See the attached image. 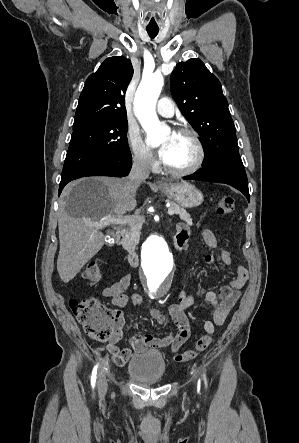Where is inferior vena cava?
Listing matches in <instances>:
<instances>
[{"instance_id": "inferior-vena-cava-1", "label": "inferior vena cava", "mask_w": 299, "mask_h": 443, "mask_svg": "<svg viewBox=\"0 0 299 443\" xmlns=\"http://www.w3.org/2000/svg\"><path fill=\"white\" fill-rule=\"evenodd\" d=\"M151 158L146 154H138L133 159L132 169L124 189L130 197H134L139 185L149 177Z\"/></svg>"}]
</instances>
